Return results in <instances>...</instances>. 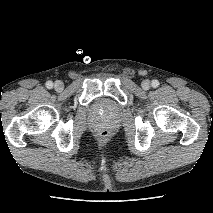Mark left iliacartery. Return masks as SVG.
Segmentation results:
<instances>
[{"instance_id": "1", "label": "left iliac artery", "mask_w": 213, "mask_h": 213, "mask_svg": "<svg viewBox=\"0 0 213 213\" xmlns=\"http://www.w3.org/2000/svg\"><path fill=\"white\" fill-rule=\"evenodd\" d=\"M159 86V81L158 80H153L152 81V87L157 88Z\"/></svg>"}]
</instances>
